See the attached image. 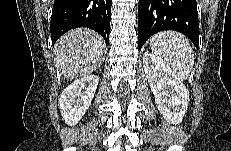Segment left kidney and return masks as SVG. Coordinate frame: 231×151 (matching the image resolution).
I'll list each match as a JSON object with an SVG mask.
<instances>
[{
    "label": "left kidney",
    "instance_id": "1",
    "mask_svg": "<svg viewBox=\"0 0 231 151\" xmlns=\"http://www.w3.org/2000/svg\"><path fill=\"white\" fill-rule=\"evenodd\" d=\"M143 66L155 97V104L163 118L179 124L187 111L189 91L172 70L155 55L145 52Z\"/></svg>",
    "mask_w": 231,
    "mask_h": 151
}]
</instances>
